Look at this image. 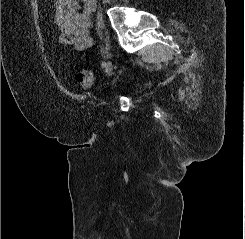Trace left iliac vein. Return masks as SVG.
I'll return each mask as SVG.
<instances>
[{"mask_svg":"<svg viewBox=\"0 0 245 239\" xmlns=\"http://www.w3.org/2000/svg\"><path fill=\"white\" fill-rule=\"evenodd\" d=\"M112 70V62L111 61H107L106 65H105V72L108 75Z\"/></svg>","mask_w":245,"mask_h":239,"instance_id":"4c4485c4","label":"left iliac vein"}]
</instances>
